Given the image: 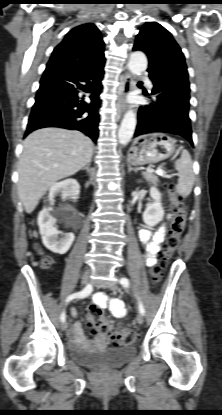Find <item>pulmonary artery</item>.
<instances>
[{
    "label": "pulmonary artery",
    "instance_id": "pulmonary-artery-1",
    "mask_svg": "<svg viewBox=\"0 0 222 415\" xmlns=\"http://www.w3.org/2000/svg\"><path fill=\"white\" fill-rule=\"evenodd\" d=\"M146 86H147L149 89H151V88H152V83H151L148 79H146Z\"/></svg>",
    "mask_w": 222,
    "mask_h": 415
}]
</instances>
